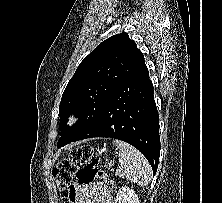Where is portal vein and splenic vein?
<instances>
[{"mask_svg": "<svg viewBox=\"0 0 222 203\" xmlns=\"http://www.w3.org/2000/svg\"><path fill=\"white\" fill-rule=\"evenodd\" d=\"M111 165H112V163L110 162V163H109V166H111Z\"/></svg>", "mask_w": 222, "mask_h": 203, "instance_id": "1", "label": "portal vein and splenic vein"}]
</instances>
